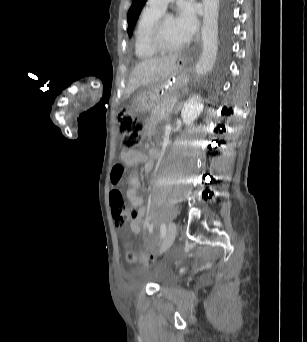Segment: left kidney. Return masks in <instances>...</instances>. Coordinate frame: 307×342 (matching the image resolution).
I'll return each instance as SVG.
<instances>
[{
    "label": "left kidney",
    "instance_id": "1",
    "mask_svg": "<svg viewBox=\"0 0 307 342\" xmlns=\"http://www.w3.org/2000/svg\"><path fill=\"white\" fill-rule=\"evenodd\" d=\"M202 110L203 104L201 100H199L198 96H193V98H189V100L185 102L181 110V118L184 124H187V126L193 124V122H195V120L199 118Z\"/></svg>",
    "mask_w": 307,
    "mask_h": 342
}]
</instances>
